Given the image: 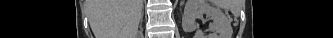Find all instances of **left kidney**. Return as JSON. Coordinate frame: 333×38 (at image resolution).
<instances>
[{"mask_svg":"<svg viewBox=\"0 0 333 38\" xmlns=\"http://www.w3.org/2000/svg\"><path fill=\"white\" fill-rule=\"evenodd\" d=\"M206 14L213 20L206 35L200 30L196 19ZM182 27L186 32L195 31L194 38H231L232 27L227 16L208 0H187L182 17Z\"/></svg>","mask_w":333,"mask_h":38,"instance_id":"5707ae66","label":"left kidney"}]
</instances>
